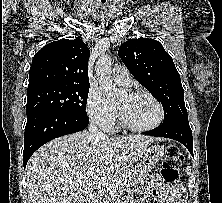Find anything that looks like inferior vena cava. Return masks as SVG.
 I'll return each mask as SVG.
<instances>
[{
	"label": "inferior vena cava",
	"mask_w": 222,
	"mask_h": 203,
	"mask_svg": "<svg viewBox=\"0 0 222 203\" xmlns=\"http://www.w3.org/2000/svg\"><path fill=\"white\" fill-rule=\"evenodd\" d=\"M89 132L96 138H105L106 135L102 131L98 129L97 124H95L94 120H91L89 124Z\"/></svg>",
	"instance_id": "602c4592"
}]
</instances>
